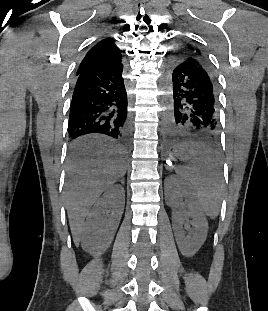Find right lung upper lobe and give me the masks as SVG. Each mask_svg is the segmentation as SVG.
<instances>
[{"label":"right lung upper lobe","mask_w":268,"mask_h":311,"mask_svg":"<svg viewBox=\"0 0 268 311\" xmlns=\"http://www.w3.org/2000/svg\"><path fill=\"white\" fill-rule=\"evenodd\" d=\"M122 64L120 49L113 38L107 37L94 45L82 60L77 74L90 70L109 69Z\"/></svg>","instance_id":"cb5924a9"}]
</instances>
